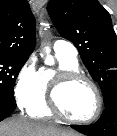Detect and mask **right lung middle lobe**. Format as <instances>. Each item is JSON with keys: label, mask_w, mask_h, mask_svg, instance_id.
Instances as JSON below:
<instances>
[{"label": "right lung middle lobe", "mask_w": 117, "mask_h": 136, "mask_svg": "<svg viewBox=\"0 0 117 136\" xmlns=\"http://www.w3.org/2000/svg\"><path fill=\"white\" fill-rule=\"evenodd\" d=\"M28 58L0 55V95L14 98L16 78Z\"/></svg>", "instance_id": "obj_1"}]
</instances>
